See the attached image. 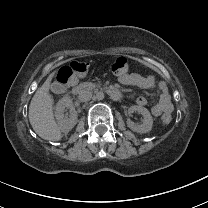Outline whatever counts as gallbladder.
<instances>
[{"mask_svg":"<svg viewBox=\"0 0 208 208\" xmlns=\"http://www.w3.org/2000/svg\"><path fill=\"white\" fill-rule=\"evenodd\" d=\"M50 89L52 92L62 95L65 93L66 88L64 85L54 82L51 84Z\"/></svg>","mask_w":208,"mask_h":208,"instance_id":"gallbladder-1","label":"gallbladder"}]
</instances>
